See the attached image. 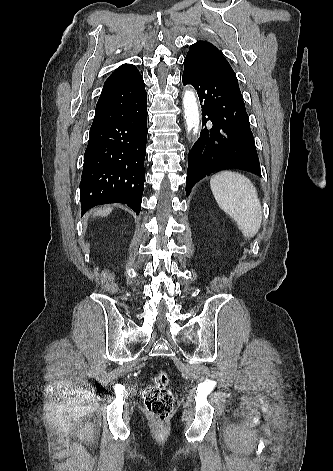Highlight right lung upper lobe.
Wrapping results in <instances>:
<instances>
[{
  "label": "right lung upper lobe",
  "instance_id": "right-lung-upper-lobe-1",
  "mask_svg": "<svg viewBox=\"0 0 333 471\" xmlns=\"http://www.w3.org/2000/svg\"><path fill=\"white\" fill-rule=\"evenodd\" d=\"M136 73H138V70L134 65L123 64L109 76L103 89L123 85Z\"/></svg>",
  "mask_w": 333,
  "mask_h": 471
}]
</instances>
